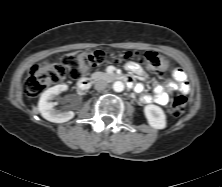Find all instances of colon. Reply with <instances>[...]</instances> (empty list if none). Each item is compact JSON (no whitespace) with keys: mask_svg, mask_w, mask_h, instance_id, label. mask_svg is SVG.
Wrapping results in <instances>:
<instances>
[{"mask_svg":"<svg viewBox=\"0 0 222 187\" xmlns=\"http://www.w3.org/2000/svg\"><path fill=\"white\" fill-rule=\"evenodd\" d=\"M113 57L110 52L78 51L65 53L59 63L45 62L32 67L25 82V92L30 97L38 96L47 87L59 83L66 77L76 81L86 79L98 66L102 65ZM125 59L138 60L146 65L152 73H160L169 67V60L163 55L153 51L143 54L127 52ZM187 98L180 92L172 95L170 113L173 116H180L185 109Z\"/></svg>","mask_w":222,"mask_h":187,"instance_id":"obj_1","label":"colon"}]
</instances>
